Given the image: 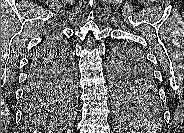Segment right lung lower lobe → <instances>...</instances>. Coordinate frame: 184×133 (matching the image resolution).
I'll use <instances>...</instances> for the list:
<instances>
[{"label":"right lung lower lobe","instance_id":"98d812e1","mask_svg":"<svg viewBox=\"0 0 184 133\" xmlns=\"http://www.w3.org/2000/svg\"><path fill=\"white\" fill-rule=\"evenodd\" d=\"M62 47L54 39L45 40L32 55L29 63L28 77L24 90V99H45L55 86L61 70ZM69 56H72L69 53Z\"/></svg>","mask_w":184,"mask_h":133}]
</instances>
